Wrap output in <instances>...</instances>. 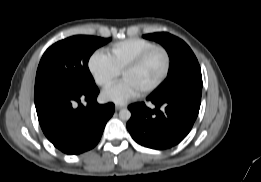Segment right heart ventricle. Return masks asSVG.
<instances>
[{
	"mask_svg": "<svg viewBox=\"0 0 261 182\" xmlns=\"http://www.w3.org/2000/svg\"><path fill=\"white\" fill-rule=\"evenodd\" d=\"M154 46L156 44L149 40L129 38L109 45L106 49V54L114 66L121 72L138 55Z\"/></svg>",
	"mask_w": 261,
	"mask_h": 182,
	"instance_id": "e07e8e85",
	"label": "right heart ventricle"
}]
</instances>
